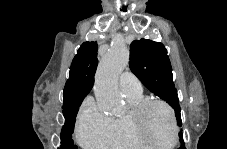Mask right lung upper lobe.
Instances as JSON below:
<instances>
[{"label":"right lung upper lobe","instance_id":"1","mask_svg":"<svg viewBox=\"0 0 227 149\" xmlns=\"http://www.w3.org/2000/svg\"><path fill=\"white\" fill-rule=\"evenodd\" d=\"M97 51L96 41L84 42L78 49L63 91L64 107L84 99L91 91L98 64Z\"/></svg>","mask_w":227,"mask_h":149}]
</instances>
